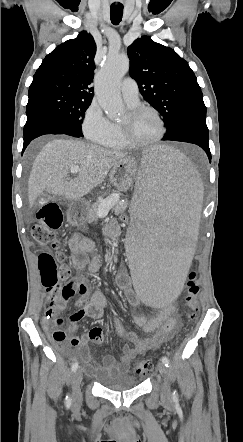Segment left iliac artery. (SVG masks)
<instances>
[{
    "instance_id": "obj_1",
    "label": "left iliac artery",
    "mask_w": 243,
    "mask_h": 442,
    "mask_svg": "<svg viewBox=\"0 0 243 442\" xmlns=\"http://www.w3.org/2000/svg\"><path fill=\"white\" fill-rule=\"evenodd\" d=\"M161 360H162V362L165 364L166 367H169L170 362H169V359H168L166 356H163V357L161 358ZM173 399H174V400H177V399H178V395H177L176 391L173 392Z\"/></svg>"
}]
</instances>
